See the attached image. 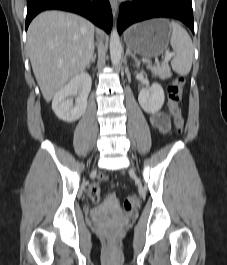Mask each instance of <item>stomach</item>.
Here are the masks:
<instances>
[{
	"label": "stomach",
	"instance_id": "1",
	"mask_svg": "<svg viewBox=\"0 0 227 265\" xmlns=\"http://www.w3.org/2000/svg\"><path fill=\"white\" fill-rule=\"evenodd\" d=\"M171 35L172 29L165 19H152L130 27L124 39L128 48L149 59L167 49Z\"/></svg>",
	"mask_w": 227,
	"mask_h": 265
}]
</instances>
